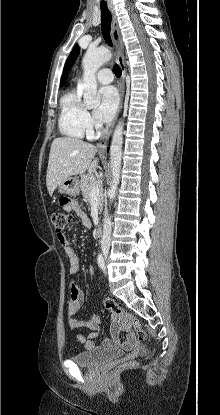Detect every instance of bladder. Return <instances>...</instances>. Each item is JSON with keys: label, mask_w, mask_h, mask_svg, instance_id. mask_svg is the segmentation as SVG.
Listing matches in <instances>:
<instances>
[{"label": "bladder", "mask_w": 220, "mask_h": 415, "mask_svg": "<svg viewBox=\"0 0 220 415\" xmlns=\"http://www.w3.org/2000/svg\"><path fill=\"white\" fill-rule=\"evenodd\" d=\"M122 355L119 349H87L72 356V361L81 366H92L109 360L119 358Z\"/></svg>", "instance_id": "bladder-1"}]
</instances>
